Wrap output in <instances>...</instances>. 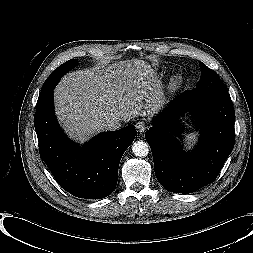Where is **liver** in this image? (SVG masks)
<instances>
[{"mask_svg": "<svg viewBox=\"0 0 253 253\" xmlns=\"http://www.w3.org/2000/svg\"><path fill=\"white\" fill-rule=\"evenodd\" d=\"M54 101L65 132L82 143L108 130V119L128 122L153 114L165 98L157 75L136 59L68 73L55 88Z\"/></svg>", "mask_w": 253, "mask_h": 253, "instance_id": "1", "label": "liver"}]
</instances>
